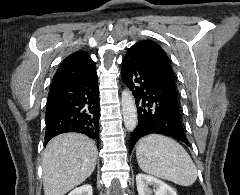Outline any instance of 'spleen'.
<instances>
[{
    "mask_svg": "<svg viewBox=\"0 0 240 195\" xmlns=\"http://www.w3.org/2000/svg\"><path fill=\"white\" fill-rule=\"evenodd\" d=\"M139 167L178 185H192L197 179V167L181 143L158 133L144 135L136 145Z\"/></svg>",
    "mask_w": 240,
    "mask_h": 195,
    "instance_id": "3e777b00",
    "label": "spleen"
}]
</instances>
